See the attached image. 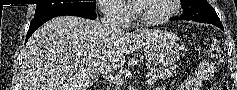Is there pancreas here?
I'll return each instance as SVG.
<instances>
[{
    "label": "pancreas",
    "mask_w": 237,
    "mask_h": 90,
    "mask_svg": "<svg viewBox=\"0 0 237 90\" xmlns=\"http://www.w3.org/2000/svg\"><path fill=\"white\" fill-rule=\"evenodd\" d=\"M176 68L177 66H174V64H163V67L151 68L150 72L146 74V78H150L152 84H154L155 80H166V78H171Z\"/></svg>",
    "instance_id": "pancreas-1"
}]
</instances>
